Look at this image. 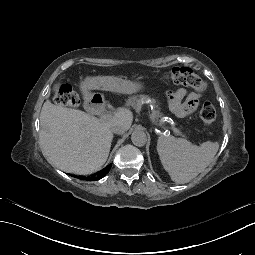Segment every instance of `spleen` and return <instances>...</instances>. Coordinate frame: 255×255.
I'll list each match as a JSON object with an SVG mask.
<instances>
[{
	"label": "spleen",
	"instance_id": "obj_1",
	"mask_svg": "<svg viewBox=\"0 0 255 255\" xmlns=\"http://www.w3.org/2000/svg\"><path fill=\"white\" fill-rule=\"evenodd\" d=\"M218 143L210 140L200 146L171 135H160L156 150L160 162L172 181L183 184L204 170L218 150Z\"/></svg>",
	"mask_w": 255,
	"mask_h": 255
}]
</instances>
